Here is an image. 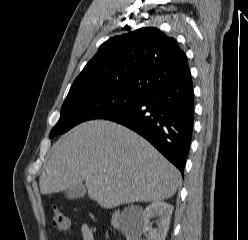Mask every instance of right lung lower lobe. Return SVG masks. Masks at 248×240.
<instances>
[{"instance_id": "1", "label": "right lung lower lobe", "mask_w": 248, "mask_h": 240, "mask_svg": "<svg viewBox=\"0 0 248 240\" xmlns=\"http://www.w3.org/2000/svg\"><path fill=\"white\" fill-rule=\"evenodd\" d=\"M104 119L143 136L183 175L194 122L191 74L148 92L136 104Z\"/></svg>"}]
</instances>
